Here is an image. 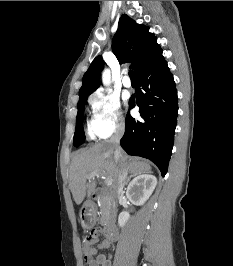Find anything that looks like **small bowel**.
Segmentation results:
<instances>
[{"label": "small bowel", "mask_w": 233, "mask_h": 266, "mask_svg": "<svg viewBox=\"0 0 233 266\" xmlns=\"http://www.w3.org/2000/svg\"><path fill=\"white\" fill-rule=\"evenodd\" d=\"M110 246L111 242L108 239H104L98 243L97 247L85 241L83 244V252L87 266H111V257L99 253V250L108 249Z\"/></svg>", "instance_id": "small-bowel-1"}]
</instances>
